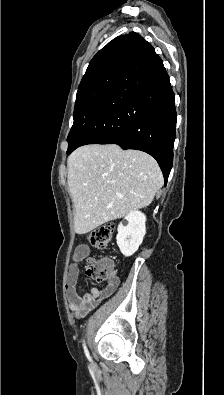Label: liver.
I'll return each instance as SVG.
<instances>
[{
  "instance_id": "liver-1",
  "label": "liver",
  "mask_w": 224,
  "mask_h": 395,
  "mask_svg": "<svg viewBox=\"0 0 224 395\" xmlns=\"http://www.w3.org/2000/svg\"><path fill=\"white\" fill-rule=\"evenodd\" d=\"M163 185L156 160L118 145H86L68 158V186L75 208L74 230L100 225L147 207Z\"/></svg>"
}]
</instances>
